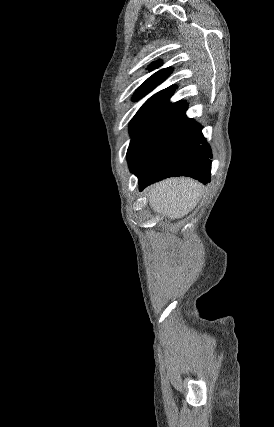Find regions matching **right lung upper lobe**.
Segmentation results:
<instances>
[{"mask_svg": "<svg viewBox=\"0 0 274 427\" xmlns=\"http://www.w3.org/2000/svg\"><path fill=\"white\" fill-rule=\"evenodd\" d=\"M161 65V62L156 61L153 62L152 65H150V69H154L156 67H159ZM172 72L171 68H165L161 69L160 71L156 72L152 76H150L137 90L133 97L134 100H137L147 94L149 91L154 89L157 85L162 83ZM176 89V86L168 87L157 94L153 95L146 103L150 102H160L164 105H171L174 106L176 104L182 103V101L176 102L174 104L168 103L169 98L172 96ZM145 103V104H146Z\"/></svg>", "mask_w": 274, "mask_h": 427, "instance_id": "cb5924a9", "label": "right lung upper lobe"}]
</instances>
